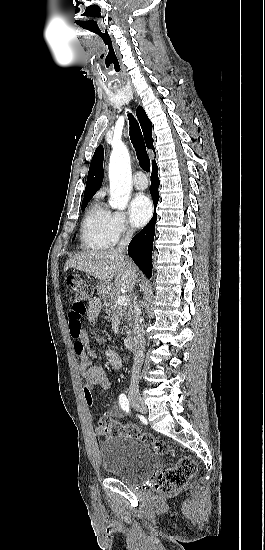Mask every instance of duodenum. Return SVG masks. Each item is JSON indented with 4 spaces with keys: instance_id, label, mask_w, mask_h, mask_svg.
<instances>
[{
    "instance_id": "duodenum-1",
    "label": "duodenum",
    "mask_w": 265,
    "mask_h": 550,
    "mask_svg": "<svg viewBox=\"0 0 265 550\" xmlns=\"http://www.w3.org/2000/svg\"><path fill=\"white\" fill-rule=\"evenodd\" d=\"M124 343H125V347H126L127 350L132 351V350H134L135 347H136L135 339H134L133 336H127V337L125 338Z\"/></svg>"
}]
</instances>
